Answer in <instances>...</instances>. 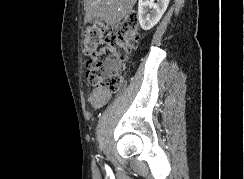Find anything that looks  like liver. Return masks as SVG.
Segmentation results:
<instances>
[{
  "instance_id": "6515ba94",
  "label": "liver",
  "mask_w": 244,
  "mask_h": 179,
  "mask_svg": "<svg viewBox=\"0 0 244 179\" xmlns=\"http://www.w3.org/2000/svg\"><path fill=\"white\" fill-rule=\"evenodd\" d=\"M136 0H85V22L101 18L106 24H117L131 14Z\"/></svg>"
}]
</instances>
